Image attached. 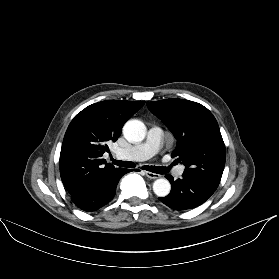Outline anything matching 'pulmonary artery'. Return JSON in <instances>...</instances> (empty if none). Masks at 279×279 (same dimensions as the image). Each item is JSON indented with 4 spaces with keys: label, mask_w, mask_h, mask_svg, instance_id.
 I'll list each match as a JSON object with an SVG mask.
<instances>
[{
    "label": "pulmonary artery",
    "mask_w": 279,
    "mask_h": 279,
    "mask_svg": "<svg viewBox=\"0 0 279 279\" xmlns=\"http://www.w3.org/2000/svg\"><path fill=\"white\" fill-rule=\"evenodd\" d=\"M163 131L160 127L153 126L149 129L147 138L143 143L135 145L129 149H117L116 154L119 157L144 161L155 155L162 142ZM184 172V166H178L175 170L176 176H181Z\"/></svg>",
    "instance_id": "pulmonary-artery-1"
}]
</instances>
